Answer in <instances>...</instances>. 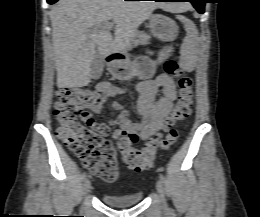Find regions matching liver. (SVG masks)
Returning a JSON list of instances; mask_svg holds the SVG:
<instances>
[{"label": "liver", "mask_w": 260, "mask_h": 217, "mask_svg": "<svg viewBox=\"0 0 260 217\" xmlns=\"http://www.w3.org/2000/svg\"><path fill=\"white\" fill-rule=\"evenodd\" d=\"M157 8L177 13L188 6L124 0H59L50 11L57 87L88 85L96 49L103 59L112 52L125 53L135 30ZM109 21L116 25L114 39L110 32L98 30Z\"/></svg>", "instance_id": "obj_1"}]
</instances>
